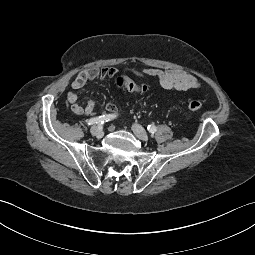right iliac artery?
Masks as SVG:
<instances>
[{
	"instance_id": "82829eb1",
	"label": "right iliac artery",
	"mask_w": 255,
	"mask_h": 255,
	"mask_svg": "<svg viewBox=\"0 0 255 255\" xmlns=\"http://www.w3.org/2000/svg\"><path fill=\"white\" fill-rule=\"evenodd\" d=\"M117 115L116 114H112V115H102L99 117H95V118H91L88 121V126H92L94 124H103L104 122L110 121L112 119H114Z\"/></svg>"
}]
</instances>
